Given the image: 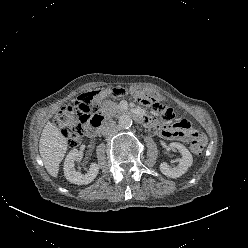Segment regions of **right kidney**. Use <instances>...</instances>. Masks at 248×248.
Segmentation results:
<instances>
[{
  "label": "right kidney",
  "mask_w": 248,
  "mask_h": 248,
  "mask_svg": "<svg viewBox=\"0 0 248 248\" xmlns=\"http://www.w3.org/2000/svg\"><path fill=\"white\" fill-rule=\"evenodd\" d=\"M79 157L80 152L77 149H73L68 153L64 162V176L69 182L77 185L89 184L96 178L99 172V166L96 163H92L89 171L86 174H82L74 168V163Z\"/></svg>",
  "instance_id": "1"
}]
</instances>
